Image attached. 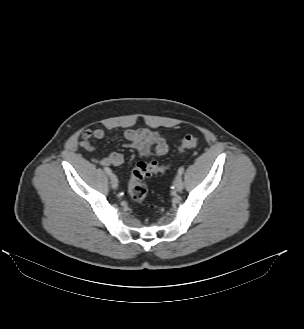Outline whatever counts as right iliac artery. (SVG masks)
Returning <instances> with one entry per match:
<instances>
[{
  "instance_id": "right-iliac-artery-1",
  "label": "right iliac artery",
  "mask_w": 304,
  "mask_h": 329,
  "mask_svg": "<svg viewBox=\"0 0 304 329\" xmlns=\"http://www.w3.org/2000/svg\"><path fill=\"white\" fill-rule=\"evenodd\" d=\"M104 170H105V172H106L109 176L112 175V171H111V169H110L109 167H104Z\"/></svg>"
}]
</instances>
